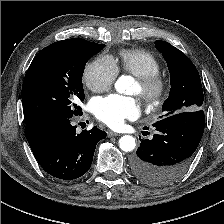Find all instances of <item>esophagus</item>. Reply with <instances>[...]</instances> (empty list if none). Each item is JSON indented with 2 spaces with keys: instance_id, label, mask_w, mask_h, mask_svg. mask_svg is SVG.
<instances>
[{
  "instance_id": "1",
  "label": "esophagus",
  "mask_w": 224,
  "mask_h": 224,
  "mask_svg": "<svg viewBox=\"0 0 224 224\" xmlns=\"http://www.w3.org/2000/svg\"><path fill=\"white\" fill-rule=\"evenodd\" d=\"M113 136H120L119 133L113 132V131H109L108 132V137H113Z\"/></svg>"
}]
</instances>
